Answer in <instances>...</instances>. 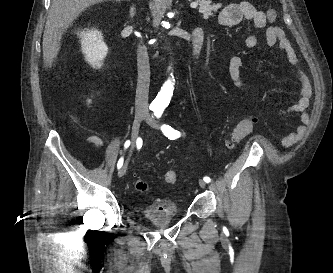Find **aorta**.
I'll list each match as a JSON object with an SVG mask.
<instances>
[{"label":"aorta","instance_id":"762f6f07","mask_svg":"<svg viewBox=\"0 0 333 273\" xmlns=\"http://www.w3.org/2000/svg\"><path fill=\"white\" fill-rule=\"evenodd\" d=\"M172 93H173V83L171 80H168L161 88V91L158 93L155 99L156 104L165 105L167 102L170 101Z\"/></svg>","mask_w":333,"mask_h":273}]
</instances>
